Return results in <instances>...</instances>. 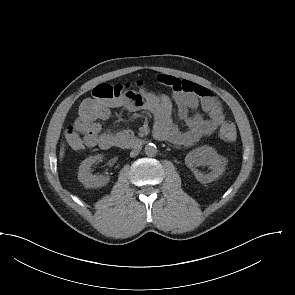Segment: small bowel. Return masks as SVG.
<instances>
[{"mask_svg": "<svg viewBox=\"0 0 295 295\" xmlns=\"http://www.w3.org/2000/svg\"><path fill=\"white\" fill-rule=\"evenodd\" d=\"M158 81L173 91L172 99L154 91H129L109 103L97 104L89 113L80 111L74 124L66 130V139L74 150L85 147H99L107 150L115 146L118 134L103 132L99 121L109 119L112 108L129 111L146 110L153 114L155 122L153 135L174 145L190 147L207 136L224 122L223 109L213 93L206 87L182 80L172 75L161 74ZM173 103L177 106L178 117L186 129L173 121ZM201 108L207 115L199 113L190 116V111Z\"/></svg>", "mask_w": 295, "mask_h": 295, "instance_id": "1", "label": "small bowel"}]
</instances>
